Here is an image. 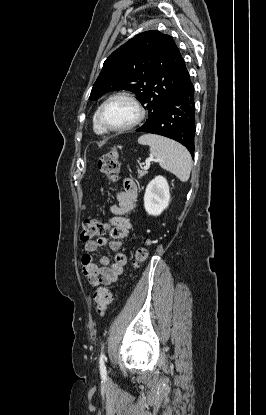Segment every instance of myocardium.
<instances>
[{"label":"myocardium","mask_w":266,"mask_h":415,"mask_svg":"<svg viewBox=\"0 0 266 415\" xmlns=\"http://www.w3.org/2000/svg\"><path fill=\"white\" fill-rule=\"evenodd\" d=\"M118 98L126 99L130 103H132L133 106L135 107L136 111H137V116L128 125H125V126H122V127H111L104 120V110H105V107L107 106V104L109 102H111L112 100L118 99ZM144 117H145V109L143 108L142 104L139 102V100L136 98V96L134 94H132L130 92H127V91H119V92H116V93L110 95L101 104V106L99 108V112H98V120H99L100 125L103 127L104 130L110 131V132H125V131H128V130H131V129L135 128L136 126H138L142 122Z\"/></svg>","instance_id":"f54148a6"}]
</instances>
